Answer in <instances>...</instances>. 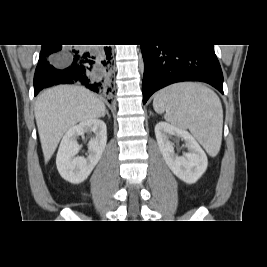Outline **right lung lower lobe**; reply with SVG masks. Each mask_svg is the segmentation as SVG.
Instances as JSON below:
<instances>
[{
  "label": "right lung lower lobe",
  "mask_w": 267,
  "mask_h": 267,
  "mask_svg": "<svg viewBox=\"0 0 267 267\" xmlns=\"http://www.w3.org/2000/svg\"><path fill=\"white\" fill-rule=\"evenodd\" d=\"M111 60L110 47L84 50L42 45L34 75L35 95L53 85L76 84L112 97Z\"/></svg>",
  "instance_id": "1"
}]
</instances>
